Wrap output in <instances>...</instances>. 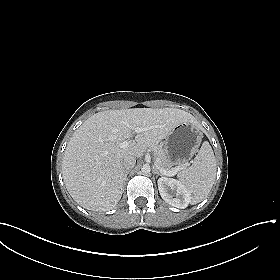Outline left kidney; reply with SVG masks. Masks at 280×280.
Returning <instances> with one entry per match:
<instances>
[{
    "label": "left kidney",
    "mask_w": 280,
    "mask_h": 280,
    "mask_svg": "<svg viewBox=\"0 0 280 280\" xmlns=\"http://www.w3.org/2000/svg\"><path fill=\"white\" fill-rule=\"evenodd\" d=\"M162 199L171 206L184 209L191 201L190 192L178 180L161 177L157 181Z\"/></svg>",
    "instance_id": "obj_1"
}]
</instances>
